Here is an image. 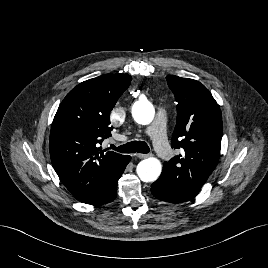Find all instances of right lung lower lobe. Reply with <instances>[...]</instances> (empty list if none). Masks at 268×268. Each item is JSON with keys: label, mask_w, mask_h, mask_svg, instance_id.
Here are the masks:
<instances>
[{"label": "right lung lower lobe", "mask_w": 268, "mask_h": 268, "mask_svg": "<svg viewBox=\"0 0 268 268\" xmlns=\"http://www.w3.org/2000/svg\"><path fill=\"white\" fill-rule=\"evenodd\" d=\"M131 157L127 155L123 163L120 165L118 170L114 173L112 176L109 184L107 187L104 189L102 194L94 201L91 203V205H102L109 203L113 201L116 198L117 195V182L119 178L121 177L122 173L124 172L127 164L130 162Z\"/></svg>", "instance_id": "1"}]
</instances>
